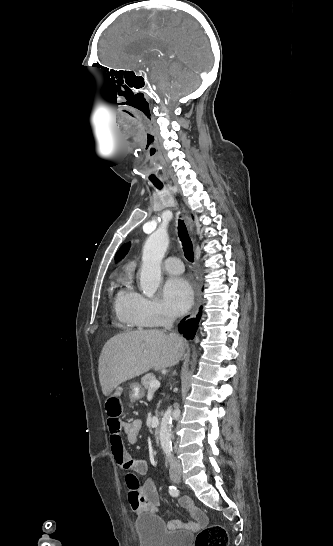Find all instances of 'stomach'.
I'll return each instance as SVG.
<instances>
[{"mask_svg": "<svg viewBox=\"0 0 333 546\" xmlns=\"http://www.w3.org/2000/svg\"><path fill=\"white\" fill-rule=\"evenodd\" d=\"M144 389L137 383H133L129 387V397L131 400H139L144 396Z\"/></svg>", "mask_w": 333, "mask_h": 546, "instance_id": "1", "label": "stomach"}]
</instances>
